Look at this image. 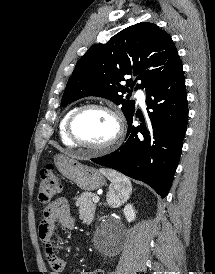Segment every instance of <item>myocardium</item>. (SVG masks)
<instances>
[{"label": "myocardium", "instance_id": "obj_1", "mask_svg": "<svg viewBox=\"0 0 215 274\" xmlns=\"http://www.w3.org/2000/svg\"><path fill=\"white\" fill-rule=\"evenodd\" d=\"M89 109H100L103 110L107 113H109L114 121H115V125H116V131L115 134L113 135V137L108 140L107 142L100 144V145H91L88 143L83 142L82 140H80L75 131H74V125L75 122L77 120V118L85 111L89 110ZM67 135L70 138V140L79 147L94 151V152H105L108 151L109 149H111L112 147H114L123 137L124 135V122L122 119V116L120 114V112L107 104H103V103H88V104H84L82 106L77 107L73 113L70 115L68 122H67Z\"/></svg>", "mask_w": 215, "mask_h": 274}]
</instances>
